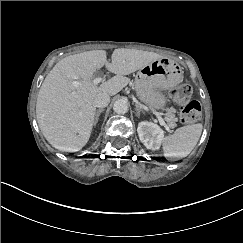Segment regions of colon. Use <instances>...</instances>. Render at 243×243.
<instances>
[{"label": "colon", "instance_id": "obj_1", "mask_svg": "<svg viewBox=\"0 0 243 243\" xmlns=\"http://www.w3.org/2000/svg\"><path fill=\"white\" fill-rule=\"evenodd\" d=\"M192 88L184 83L172 91L173 101L181 107V121L183 123H195L201 118V106L198 101L191 100Z\"/></svg>", "mask_w": 243, "mask_h": 243}]
</instances>
